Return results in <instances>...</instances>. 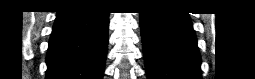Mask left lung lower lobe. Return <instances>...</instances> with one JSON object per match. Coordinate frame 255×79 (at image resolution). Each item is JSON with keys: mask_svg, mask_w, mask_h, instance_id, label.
<instances>
[{"mask_svg": "<svg viewBox=\"0 0 255 79\" xmlns=\"http://www.w3.org/2000/svg\"><path fill=\"white\" fill-rule=\"evenodd\" d=\"M141 33L148 79H201V57L187 13H141Z\"/></svg>", "mask_w": 255, "mask_h": 79, "instance_id": "obj_1", "label": "left lung lower lobe"}]
</instances>
